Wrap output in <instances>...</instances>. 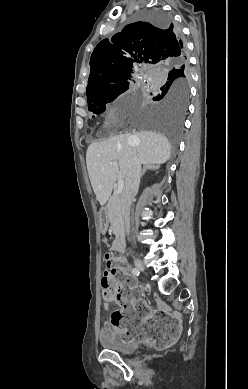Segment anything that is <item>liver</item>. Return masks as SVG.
<instances>
[{
  "label": "liver",
  "instance_id": "liver-1",
  "mask_svg": "<svg viewBox=\"0 0 248 389\" xmlns=\"http://www.w3.org/2000/svg\"><path fill=\"white\" fill-rule=\"evenodd\" d=\"M134 155L141 164L160 165L170 158L171 146L164 135L152 131L120 134L89 145L87 170L100 205L109 199L114 183L126 179Z\"/></svg>",
  "mask_w": 248,
  "mask_h": 389
}]
</instances>
